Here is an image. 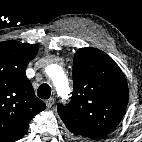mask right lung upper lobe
<instances>
[{
	"label": "right lung upper lobe",
	"mask_w": 142,
	"mask_h": 142,
	"mask_svg": "<svg viewBox=\"0 0 142 142\" xmlns=\"http://www.w3.org/2000/svg\"><path fill=\"white\" fill-rule=\"evenodd\" d=\"M37 52L38 45L14 40L0 43V142L22 138L30 120L45 109L25 74Z\"/></svg>",
	"instance_id": "right-lung-upper-lobe-1"
}]
</instances>
